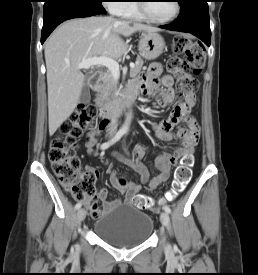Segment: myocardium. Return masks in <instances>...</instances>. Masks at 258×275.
<instances>
[{
    "label": "myocardium",
    "mask_w": 258,
    "mask_h": 275,
    "mask_svg": "<svg viewBox=\"0 0 258 275\" xmlns=\"http://www.w3.org/2000/svg\"><path fill=\"white\" fill-rule=\"evenodd\" d=\"M139 2H144V1H139ZM175 3V13L169 17V18H166V19H156L154 17H152L150 15V13L148 12V9H147V4L146 3H138V10L140 11V13L149 21L153 22V23H157V24H165V23H169V22H172L173 20H175L180 12H181V5L179 3L178 0H175L174 1Z\"/></svg>",
    "instance_id": "obj_1"
}]
</instances>
